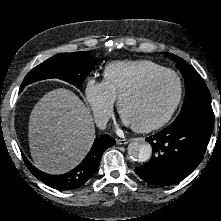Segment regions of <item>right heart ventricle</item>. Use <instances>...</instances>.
Returning a JSON list of instances; mask_svg holds the SVG:
<instances>
[{
  "mask_svg": "<svg viewBox=\"0 0 221 221\" xmlns=\"http://www.w3.org/2000/svg\"><path fill=\"white\" fill-rule=\"evenodd\" d=\"M164 69L151 60H123L111 62L104 68L103 81L115 99L147 74Z\"/></svg>",
  "mask_w": 221,
  "mask_h": 221,
  "instance_id": "1",
  "label": "right heart ventricle"
}]
</instances>
